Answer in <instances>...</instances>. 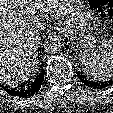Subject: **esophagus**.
Masks as SVG:
<instances>
[{
    "instance_id": "obj_1",
    "label": "esophagus",
    "mask_w": 113,
    "mask_h": 113,
    "mask_svg": "<svg viewBox=\"0 0 113 113\" xmlns=\"http://www.w3.org/2000/svg\"><path fill=\"white\" fill-rule=\"evenodd\" d=\"M56 29L62 36H66L68 33V25L66 23L59 24Z\"/></svg>"
}]
</instances>
